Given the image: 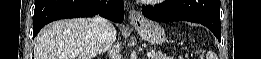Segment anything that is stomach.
Masks as SVG:
<instances>
[{
  "instance_id": "stomach-1",
  "label": "stomach",
  "mask_w": 261,
  "mask_h": 59,
  "mask_svg": "<svg viewBox=\"0 0 261 59\" xmlns=\"http://www.w3.org/2000/svg\"><path fill=\"white\" fill-rule=\"evenodd\" d=\"M134 27L140 37L150 44L158 45L167 40L165 30L157 22L144 19L139 23H135Z\"/></svg>"
}]
</instances>
